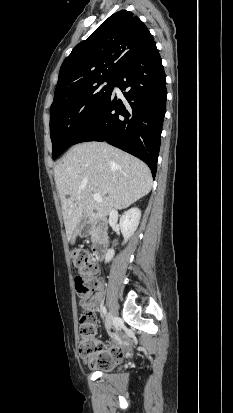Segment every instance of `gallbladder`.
I'll use <instances>...</instances> for the list:
<instances>
[{
    "label": "gallbladder",
    "mask_w": 233,
    "mask_h": 413,
    "mask_svg": "<svg viewBox=\"0 0 233 413\" xmlns=\"http://www.w3.org/2000/svg\"><path fill=\"white\" fill-rule=\"evenodd\" d=\"M78 234H79V232H78V230H77V231L75 232L73 238H72L71 244H74V243H75V240H76V237H77Z\"/></svg>",
    "instance_id": "bac80fb5"
}]
</instances>
